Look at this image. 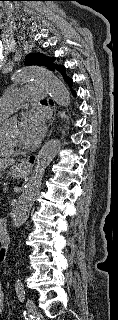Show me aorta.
<instances>
[{"instance_id":"1","label":"aorta","mask_w":118,"mask_h":320,"mask_svg":"<svg viewBox=\"0 0 118 320\" xmlns=\"http://www.w3.org/2000/svg\"><path fill=\"white\" fill-rule=\"evenodd\" d=\"M17 82L37 81L41 83L50 97L59 105L67 107L70 104V93L64 83L50 70L41 66H28L14 74ZM12 125V120L5 121ZM61 148L58 139H52L44 144L37 155L35 169L27 181L24 191L18 198L13 212V227H20L28 218L29 211L35 201L37 192L42 184L45 169L52 162Z\"/></svg>"}]
</instances>
